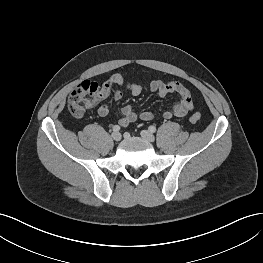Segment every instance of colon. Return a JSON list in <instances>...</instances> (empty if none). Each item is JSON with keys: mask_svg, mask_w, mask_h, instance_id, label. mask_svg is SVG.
Masks as SVG:
<instances>
[{"mask_svg": "<svg viewBox=\"0 0 263 263\" xmlns=\"http://www.w3.org/2000/svg\"><path fill=\"white\" fill-rule=\"evenodd\" d=\"M99 86L93 81H84L77 85L69 94L68 110L74 117H81L86 109L94 102V98L98 94ZM200 120V114L194 113L190 117L192 123Z\"/></svg>", "mask_w": 263, "mask_h": 263, "instance_id": "colon-1", "label": "colon"}]
</instances>
